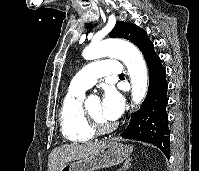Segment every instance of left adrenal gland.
<instances>
[{
  "mask_svg": "<svg viewBox=\"0 0 199 171\" xmlns=\"http://www.w3.org/2000/svg\"><path fill=\"white\" fill-rule=\"evenodd\" d=\"M131 159H127L119 171H126L131 165Z\"/></svg>",
  "mask_w": 199,
  "mask_h": 171,
  "instance_id": "obj_1",
  "label": "left adrenal gland"
}]
</instances>
